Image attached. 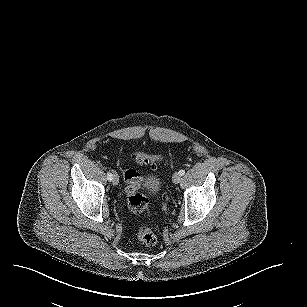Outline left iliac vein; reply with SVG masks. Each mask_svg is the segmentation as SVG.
<instances>
[{
    "mask_svg": "<svg viewBox=\"0 0 307 307\" xmlns=\"http://www.w3.org/2000/svg\"><path fill=\"white\" fill-rule=\"evenodd\" d=\"M181 175L179 174V172H175L173 175V182L175 184H178L181 181Z\"/></svg>",
    "mask_w": 307,
    "mask_h": 307,
    "instance_id": "4c4485c4",
    "label": "left iliac vein"
}]
</instances>
